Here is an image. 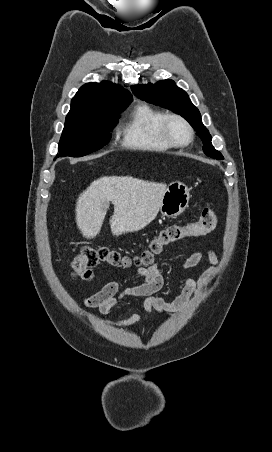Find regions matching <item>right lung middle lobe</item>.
Listing matches in <instances>:
<instances>
[{"label": "right lung middle lobe", "mask_w": 272, "mask_h": 452, "mask_svg": "<svg viewBox=\"0 0 272 452\" xmlns=\"http://www.w3.org/2000/svg\"><path fill=\"white\" fill-rule=\"evenodd\" d=\"M128 105L119 104L89 117L66 120L56 158L81 157L105 146L111 139L110 132L118 121L119 113Z\"/></svg>", "instance_id": "obj_1"}]
</instances>
